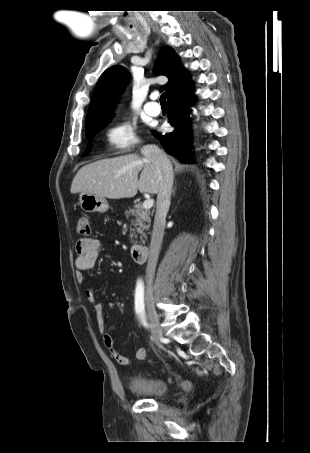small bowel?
<instances>
[{
    "label": "small bowel",
    "mask_w": 310,
    "mask_h": 453,
    "mask_svg": "<svg viewBox=\"0 0 310 453\" xmlns=\"http://www.w3.org/2000/svg\"><path fill=\"white\" fill-rule=\"evenodd\" d=\"M101 242L92 237L80 238L75 245V267L76 279L79 283L84 281V272L92 269L100 255ZM84 294L89 302L92 304L97 318V327L102 335L105 348L110 355L120 365L127 366L130 364V359L121 354L114 344L112 336L106 331V324L103 313V306L96 300L95 288L93 286L84 289ZM137 360H144L146 358V349L138 348L135 353Z\"/></svg>",
    "instance_id": "small-bowel-1"
}]
</instances>
